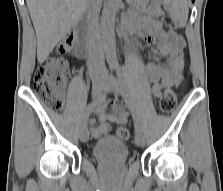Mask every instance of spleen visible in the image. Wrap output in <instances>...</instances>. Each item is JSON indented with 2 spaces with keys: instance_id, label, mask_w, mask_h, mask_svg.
<instances>
[{
  "instance_id": "3e777b00",
  "label": "spleen",
  "mask_w": 223,
  "mask_h": 191,
  "mask_svg": "<svg viewBox=\"0 0 223 191\" xmlns=\"http://www.w3.org/2000/svg\"><path fill=\"white\" fill-rule=\"evenodd\" d=\"M171 7L170 13L180 22L185 23L188 17L187 0H169Z\"/></svg>"
}]
</instances>
